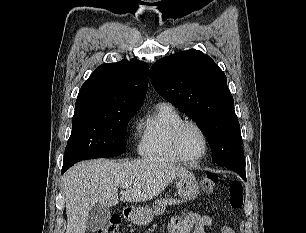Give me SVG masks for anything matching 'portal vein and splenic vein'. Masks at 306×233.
Listing matches in <instances>:
<instances>
[{"mask_svg": "<svg viewBox=\"0 0 306 233\" xmlns=\"http://www.w3.org/2000/svg\"><path fill=\"white\" fill-rule=\"evenodd\" d=\"M128 187H129V184H122V185H121V188H122V189H126V188H128Z\"/></svg>", "mask_w": 306, "mask_h": 233, "instance_id": "obj_1", "label": "portal vein and splenic vein"}]
</instances>
